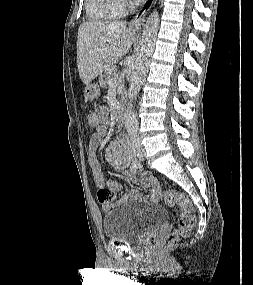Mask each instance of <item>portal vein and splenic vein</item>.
Instances as JSON below:
<instances>
[{"mask_svg": "<svg viewBox=\"0 0 253 285\" xmlns=\"http://www.w3.org/2000/svg\"><path fill=\"white\" fill-rule=\"evenodd\" d=\"M117 81H118V80H117V77L115 76L114 78H112V79L109 80V85H111V86H112V85H116V84H117Z\"/></svg>", "mask_w": 253, "mask_h": 285, "instance_id": "portal-vein-and-splenic-vein-1", "label": "portal vein and splenic vein"}]
</instances>
